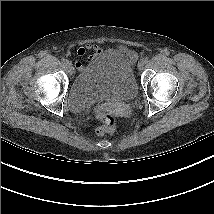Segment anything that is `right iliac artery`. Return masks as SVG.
<instances>
[{"instance_id":"obj_1","label":"right iliac artery","mask_w":214,"mask_h":214,"mask_svg":"<svg viewBox=\"0 0 214 214\" xmlns=\"http://www.w3.org/2000/svg\"><path fill=\"white\" fill-rule=\"evenodd\" d=\"M61 61H62L63 64H67L68 63V60L65 59V58L61 59Z\"/></svg>"}]
</instances>
